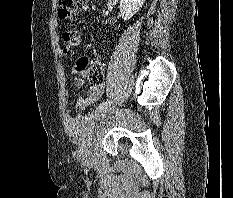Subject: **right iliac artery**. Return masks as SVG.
<instances>
[{"instance_id": "82829eb1", "label": "right iliac artery", "mask_w": 233, "mask_h": 198, "mask_svg": "<svg viewBox=\"0 0 233 198\" xmlns=\"http://www.w3.org/2000/svg\"><path fill=\"white\" fill-rule=\"evenodd\" d=\"M112 103V101H106V102H102L100 105H99V110H103L105 108H107L110 104Z\"/></svg>"}]
</instances>
